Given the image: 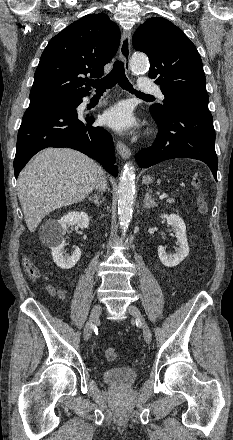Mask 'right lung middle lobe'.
<instances>
[{
    "mask_svg": "<svg viewBox=\"0 0 233 440\" xmlns=\"http://www.w3.org/2000/svg\"><path fill=\"white\" fill-rule=\"evenodd\" d=\"M58 101H67V102L73 103V102H76L77 99H60Z\"/></svg>",
    "mask_w": 233,
    "mask_h": 440,
    "instance_id": "obj_1",
    "label": "right lung middle lobe"
}]
</instances>
